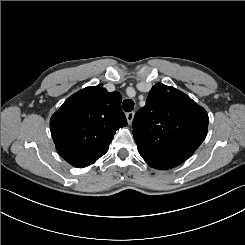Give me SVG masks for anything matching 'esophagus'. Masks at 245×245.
I'll return each mask as SVG.
<instances>
[{"label":"esophagus","mask_w":245,"mask_h":245,"mask_svg":"<svg viewBox=\"0 0 245 245\" xmlns=\"http://www.w3.org/2000/svg\"><path fill=\"white\" fill-rule=\"evenodd\" d=\"M126 118H127L128 124L131 125L132 124V121L134 119V112H128L126 114Z\"/></svg>","instance_id":"esophagus-1"}]
</instances>
